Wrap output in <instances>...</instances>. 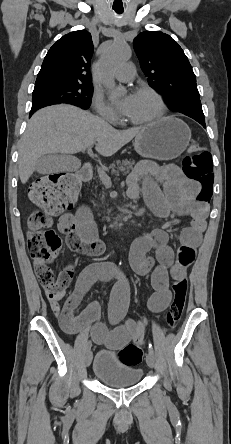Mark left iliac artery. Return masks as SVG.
Wrapping results in <instances>:
<instances>
[{"instance_id": "left-iliac-artery-1", "label": "left iliac artery", "mask_w": 231, "mask_h": 444, "mask_svg": "<svg viewBox=\"0 0 231 444\" xmlns=\"http://www.w3.org/2000/svg\"><path fill=\"white\" fill-rule=\"evenodd\" d=\"M148 347H149V351L153 353L154 350H153V347H152V344H151V343H149V346H148Z\"/></svg>"}]
</instances>
